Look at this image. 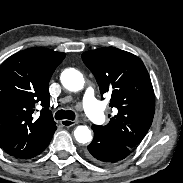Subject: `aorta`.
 Segmentation results:
<instances>
[{
	"label": "aorta",
	"instance_id": "obj_1",
	"mask_svg": "<svg viewBox=\"0 0 183 183\" xmlns=\"http://www.w3.org/2000/svg\"><path fill=\"white\" fill-rule=\"evenodd\" d=\"M62 85L69 91L77 92L84 87L83 75L74 68L65 69L60 77ZM77 142L85 144L92 140L91 130L87 126H78L74 131Z\"/></svg>",
	"mask_w": 183,
	"mask_h": 183
}]
</instances>
